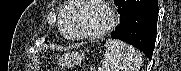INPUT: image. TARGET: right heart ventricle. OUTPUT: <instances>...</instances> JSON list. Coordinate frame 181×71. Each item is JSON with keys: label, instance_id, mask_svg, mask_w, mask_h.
Instances as JSON below:
<instances>
[{"label": "right heart ventricle", "instance_id": "e07e8e85", "mask_svg": "<svg viewBox=\"0 0 181 71\" xmlns=\"http://www.w3.org/2000/svg\"><path fill=\"white\" fill-rule=\"evenodd\" d=\"M75 9L76 3L68 1L61 10L62 19L60 23V31L66 38L69 39H74L72 38L73 33L70 24Z\"/></svg>", "mask_w": 181, "mask_h": 71}]
</instances>
